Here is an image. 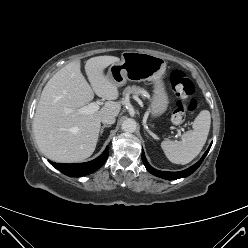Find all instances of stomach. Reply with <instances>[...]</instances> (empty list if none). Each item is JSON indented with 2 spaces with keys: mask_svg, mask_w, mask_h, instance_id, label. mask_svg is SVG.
<instances>
[{
  "mask_svg": "<svg viewBox=\"0 0 248 248\" xmlns=\"http://www.w3.org/2000/svg\"><path fill=\"white\" fill-rule=\"evenodd\" d=\"M165 71L166 62L163 58L144 52L126 51L118 63L110 66L107 77L117 87L125 85L127 81L153 82L151 114L156 118L167 110L169 104L162 80Z\"/></svg>",
  "mask_w": 248,
  "mask_h": 248,
  "instance_id": "obj_1",
  "label": "stomach"
}]
</instances>
